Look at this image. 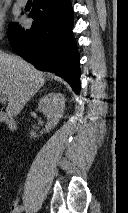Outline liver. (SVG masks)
I'll return each instance as SVG.
<instances>
[{
	"instance_id": "obj_1",
	"label": "liver",
	"mask_w": 128,
	"mask_h": 213,
	"mask_svg": "<svg viewBox=\"0 0 128 213\" xmlns=\"http://www.w3.org/2000/svg\"><path fill=\"white\" fill-rule=\"evenodd\" d=\"M45 84L42 72L22 58L0 51V95L8 100L6 113L17 116Z\"/></svg>"
}]
</instances>
